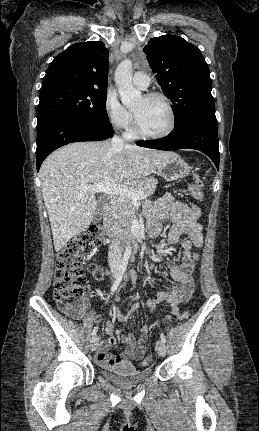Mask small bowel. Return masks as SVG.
<instances>
[{
    "mask_svg": "<svg viewBox=\"0 0 259 431\" xmlns=\"http://www.w3.org/2000/svg\"><path fill=\"white\" fill-rule=\"evenodd\" d=\"M190 211V206L175 200L170 194H165L149 208L147 215V228L150 235L158 234L165 223H173L167 246L177 244L183 234L188 236L181 243L180 263L176 264L172 261L167 263L170 276L177 282V285L169 290L159 291L156 297L147 303V306L152 308L156 303L166 302L171 308L172 316L178 315L180 303L186 302L192 297L195 284L194 267L199 260L193 247H201L204 241L203 227L198 219L194 220L191 217ZM170 318L171 316H168L167 320ZM104 331L107 339L99 343L97 352V360L100 365L104 367H113L119 364L130 365L132 361H138L142 358L147 335L150 332L149 326L141 328L139 339H135L131 334L123 335L121 341L126 347L118 354L109 351L117 343L113 322H107Z\"/></svg>",
    "mask_w": 259,
    "mask_h": 431,
    "instance_id": "1",
    "label": "small bowel"
}]
</instances>
